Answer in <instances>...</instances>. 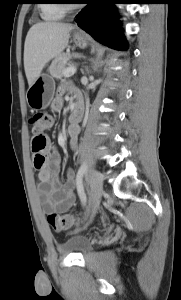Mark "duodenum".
<instances>
[{
    "mask_svg": "<svg viewBox=\"0 0 181 300\" xmlns=\"http://www.w3.org/2000/svg\"><path fill=\"white\" fill-rule=\"evenodd\" d=\"M84 111V103L81 99H78L75 102L71 117H70V124L72 126H76L80 121Z\"/></svg>",
    "mask_w": 181,
    "mask_h": 300,
    "instance_id": "1",
    "label": "duodenum"
}]
</instances>
